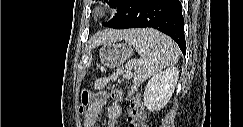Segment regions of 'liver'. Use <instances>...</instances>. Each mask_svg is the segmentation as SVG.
Segmentation results:
<instances>
[{"label":"liver","mask_w":243,"mask_h":127,"mask_svg":"<svg viewBox=\"0 0 243 127\" xmlns=\"http://www.w3.org/2000/svg\"><path fill=\"white\" fill-rule=\"evenodd\" d=\"M134 32V30L128 31H120V30H113V31H103L97 33L93 38L90 40V47L94 48L101 44L112 43L117 40H122L123 38L128 37Z\"/></svg>","instance_id":"obj_1"}]
</instances>
